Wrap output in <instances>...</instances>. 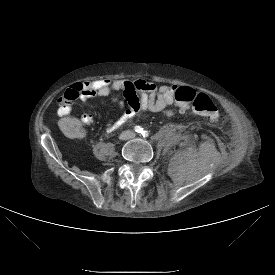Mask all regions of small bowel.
Here are the masks:
<instances>
[{"label": "small bowel", "instance_id": "small-bowel-1", "mask_svg": "<svg viewBox=\"0 0 275 275\" xmlns=\"http://www.w3.org/2000/svg\"><path fill=\"white\" fill-rule=\"evenodd\" d=\"M177 88L176 85L171 84L157 86L144 79L130 82L127 80L104 78L79 82L72 86L66 94L76 92L77 97L82 100H88L93 97H105L117 91H124V98L130 104L117 119L108 122L107 131L113 132L141 110L161 112L167 109L174 103ZM112 101L117 104L119 108L124 107V103L119 99L113 98ZM59 114L62 117L56 122L57 129L73 138L82 137L84 135V126L93 122V117L89 113H84L81 116V123L72 117L64 116L67 113H62L61 110ZM168 114H171V112L169 111Z\"/></svg>", "mask_w": 275, "mask_h": 275}]
</instances>
